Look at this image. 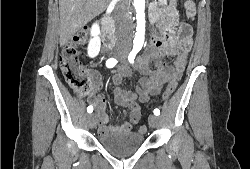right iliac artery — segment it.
Wrapping results in <instances>:
<instances>
[{
  "label": "right iliac artery",
  "instance_id": "82829eb1",
  "mask_svg": "<svg viewBox=\"0 0 250 169\" xmlns=\"http://www.w3.org/2000/svg\"><path fill=\"white\" fill-rule=\"evenodd\" d=\"M116 63H117V60H116V59L110 58V59H108V60L106 61V66H107L108 68H112V67H114V66L116 65ZM87 112H88V113H92V112H93V107H92V106H88Z\"/></svg>",
  "mask_w": 250,
  "mask_h": 169
}]
</instances>
